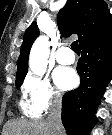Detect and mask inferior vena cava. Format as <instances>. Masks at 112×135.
<instances>
[{
  "label": "inferior vena cava",
  "instance_id": "obj_1",
  "mask_svg": "<svg viewBox=\"0 0 112 135\" xmlns=\"http://www.w3.org/2000/svg\"><path fill=\"white\" fill-rule=\"evenodd\" d=\"M47 121L52 127L53 135H63L61 122V99L59 97L53 100Z\"/></svg>",
  "mask_w": 112,
  "mask_h": 135
}]
</instances>
